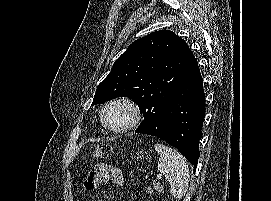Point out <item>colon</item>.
<instances>
[{"label":"colon","mask_w":271,"mask_h":201,"mask_svg":"<svg viewBox=\"0 0 271 201\" xmlns=\"http://www.w3.org/2000/svg\"><path fill=\"white\" fill-rule=\"evenodd\" d=\"M112 152V146L107 143L98 144L93 152L92 158L99 159V158H107Z\"/></svg>","instance_id":"colon-1"}]
</instances>
